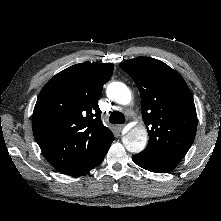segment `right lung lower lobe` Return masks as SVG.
<instances>
[{"label": "right lung lower lobe", "mask_w": 221, "mask_h": 221, "mask_svg": "<svg viewBox=\"0 0 221 221\" xmlns=\"http://www.w3.org/2000/svg\"><path fill=\"white\" fill-rule=\"evenodd\" d=\"M104 157H105V155L103 157H101L100 159H98L96 162H94L91 166H89L88 168L83 170L82 172H79V173H76V174H80V173L86 172V171L91 170L92 168L96 167L97 165H99L102 162ZM76 174H73V175H76Z\"/></svg>", "instance_id": "obj_1"}]
</instances>
